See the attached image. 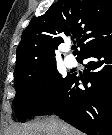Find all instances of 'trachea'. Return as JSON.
<instances>
[{
	"label": "trachea",
	"instance_id": "1",
	"mask_svg": "<svg viewBox=\"0 0 112 135\" xmlns=\"http://www.w3.org/2000/svg\"><path fill=\"white\" fill-rule=\"evenodd\" d=\"M72 49H73V50L76 49V46H72Z\"/></svg>",
	"mask_w": 112,
	"mask_h": 135
}]
</instances>
